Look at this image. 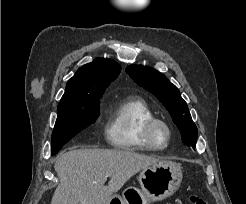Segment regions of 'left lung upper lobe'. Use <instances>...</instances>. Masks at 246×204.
<instances>
[{
  "mask_svg": "<svg viewBox=\"0 0 246 204\" xmlns=\"http://www.w3.org/2000/svg\"><path fill=\"white\" fill-rule=\"evenodd\" d=\"M126 72L139 86L154 94L162 102L180 130L183 143L195 148L197 127L177 87L164 74L153 68L130 65L126 68Z\"/></svg>",
  "mask_w": 246,
  "mask_h": 204,
  "instance_id": "5c2ea615",
  "label": "left lung upper lobe"
}]
</instances>
